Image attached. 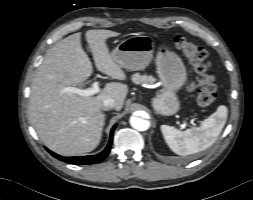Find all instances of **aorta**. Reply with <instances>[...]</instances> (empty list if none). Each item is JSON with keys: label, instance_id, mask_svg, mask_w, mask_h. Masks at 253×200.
<instances>
[{"label": "aorta", "instance_id": "aorta-1", "mask_svg": "<svg viewBox=\"0 0 253 200\" xmlns=\"http://www.w3.org/2000/svg\"><path fill=\"white\" fill-rule=\"evenodd\" d=\"M130 124L138 131H146L150 127V122L148 120L136 116L130 118Z\"/></svg>", "mask_w": 253, "mask_h": 200}]
</instances>
